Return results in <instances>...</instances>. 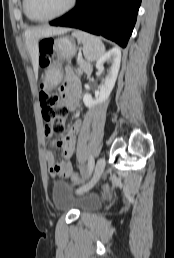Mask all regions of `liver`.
Returning <instances> with one entry per match:
<instances>
[{
    "label": "liver",
    "mask_w": 174,
    "mask_h": 258,
    "mask_svg": "<svg viewBox=\"0 0 174 258\" xmlns=\"http://www.w3.org/2000/svg\"><path fill=\"white\" fill-rule=\"evenodd\" d=\"M68 29L65 28H55V27H44V28H34L28 29L25 32V42L29 54L31 56L32 64L36 77L38 75V58H39V39L43 37H50L52 35L62 34L67 32Z\"/></svg>",
    "instance_id": "6515ba94"
}]
</instances>
